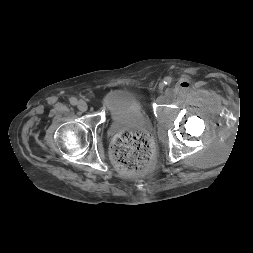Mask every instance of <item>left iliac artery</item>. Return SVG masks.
<instances>
[{
	"label": "left iliac artery",
	"instance_id": "44dca946",
	"mask_svg": "<svg viewBox=\"0 0 253 253\" xmlns=\"http://www.w3.org/2000/svg\"><path fill=\"white\" fill-rule=\"evenodd\" d=\"M172 82V78L171 77H165L164 78V84L165 85H170Z\"/></svg>",
	"mask_w": 253,
	"mask_h": 253
}]
</instances>
